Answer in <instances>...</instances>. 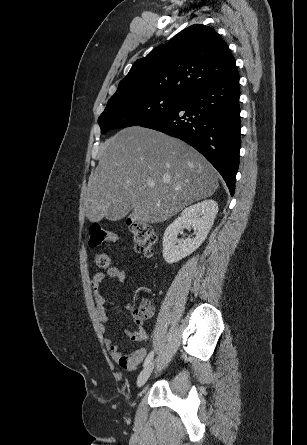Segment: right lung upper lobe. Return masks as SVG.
Wrapping results in <instances>:
<instances>
[{
    "label": "right lung upper lobe",
    "instance_id": "1",
    "mask_svg": "<svg viewBox=\"0 0 307 445\" xmlns=\"http://www.w3.org/2000/svg\"><path fill=\"white\" fill-rule=\"evenodd\" d=\"M235 67L233 55L216 31L194 24L137 60L113 96H185Z\"/></svg>",
    "mask_w": 307,
    "mask_h": 445
}]
</instances>
